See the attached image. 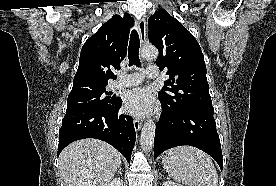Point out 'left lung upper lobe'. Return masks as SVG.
Returning <instances> with one entry per match:
<instances>
[{"instance_id": "5c2ea615", "label": "left lung upper lobe", "mask_w": 276, "mask_h": 186, "mask_svg": "<svg viewBox=\"0 0 276 186\" xmlns=\"http://www.w3.org/2000/svg\"><path fill=\"white\" fill-rule=\"evenodd\" d=\"M149 39L159 50L156 65L169 79L158 93L174 110L210 108L206 65L195 37L164 9L149 18Z\"/></svg>"}]
</instances>
